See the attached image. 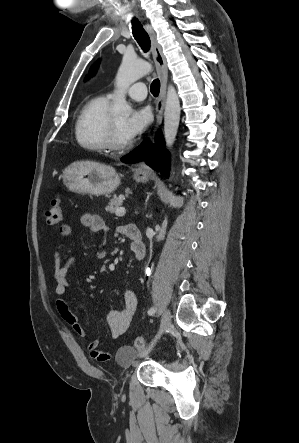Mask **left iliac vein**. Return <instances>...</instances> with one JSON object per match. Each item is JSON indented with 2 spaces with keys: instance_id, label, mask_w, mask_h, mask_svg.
Instances as JSON below:
<instances>
[{
  "instance_id": "1",
  "label": "left iliac vein",
  "mask_w": 299,
  "mask_h": 443,
  "mask_svg": "<svg viewBox=\"0 0 299 443\" xmlns=\"http://www.w3.org/2000/svg\"><path fill=\"white\" fill-rule=\"evenodd\" d=\"M170 325H171V314H170L169 309H166L163 312V315H162L161 324H160V330H159L158 334L152 340L149 348L145 352H143V353H141L139 355L140 358L144 357L147 353H149L152 350V348L154 347V345L156 344L158 339L161 337V335L169 330Z\"/></svg>"
}]
</instances>
